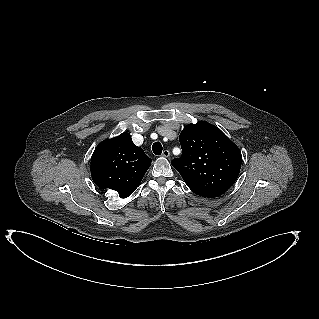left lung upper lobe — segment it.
I'll return each instance as SVG.
<instances>
[{"mask_svg": "<svg viewBox=\"0 0 319 319\" xmlns=\"http://www.w3.org/2000/svg\"><path fill=\"white\" fill-rule=\"evenodd\" d=\"M182 156L171 164L187 186L202 197H218L237 180L242 156L239 148L214 125L200 121L182 130Z\"/></svg>", "mask_w": 319, "mask_h": 319, "instance_id": "left-lung-upper-lobe-1", "label": "left lung upper lobe"}]
</instances>
